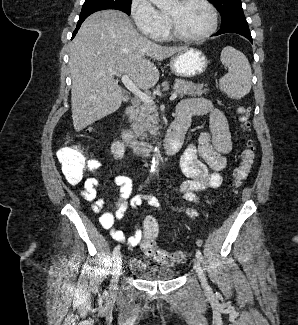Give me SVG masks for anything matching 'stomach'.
<instances>
[{"label":"stomach","mask_w":298,"mask_h":325,"mask_svg":"<svg viewBox=\"0 0 298 325\" xmlns=\"http://www.w3.org/2000/svg\"><path fill=\"white\" fill-rule=\"evenodd\" d=\"M208 64L209 60L205 52L195 46H188L186 50L177 52L171 56L169 62L170 70L181 78H192V76L203 74Z\"/></svg>","instance_id":"0dacf381"}]
</instances>
